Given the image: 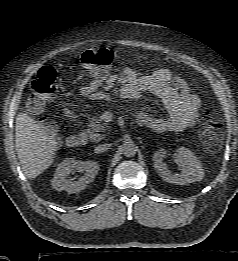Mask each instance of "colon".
Wrapping results in <instances>:
<instances>
[{
	"instance_id": "1",
	"label": "colon",
	"mask_w": 238,
	"mask_h": 261,
	"mask_svg": "<svg viewBox=\"0 0 238 261\" xmlns=\"http://www.w3.org/2000/svg\"><path fill=\"white\" fill-rule=\"evenodd\" d=\"M116 52L109 47L91 48L83 52L81 62L91 75L97 78L107 76L110 68L116 61ZM57 91V73L53 67H42L30 87L28 107L34 113H41L47 101L51 100ZM50 131H54V125L46 123ZM224 136L223 124L212 117L205 115L200 124V138L209 150L219 148Z\"/></svg>"
}]
</instances>
